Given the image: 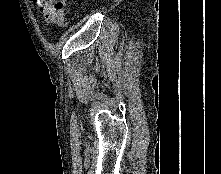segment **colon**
Masks as SVG:
<instances>
[{
    "mask_svg": "<svg viewBox=\"0 0 221 174\" xmlns=\"http://www.w3.org/2000/svg\"><path fill=\"white\" fill-rule=\"evenodd\" d=\"M48 23L61 25L64 21V5L67 0H34Z\"/></svg>",
    "mask_w": 221,
    "mask_h": 174,
    "instance_id": "5ec220e1",
    "label": "colon"
}]
</instances>
